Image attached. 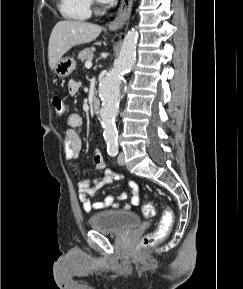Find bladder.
Returning a JSON list of instances; mask_svg holds the SVG:
<instances>
[{
  "label": "bladder",
  "instance_id": "31cf9c89",
  "mask_svg": "<svg viewBox=\"0 0 243 289\" xmlns=\"http://www.w3.org/2000/svg\"><path fill=\"white\" fill-rule=\"evenodd\" d=\"M140 217L130 211L105 210L92 215L89 225L92 229L113 234H121L137 227Z\"/></svg>",
  "mask_w": 243,
  "mask_h": 289
}]
</instances>
